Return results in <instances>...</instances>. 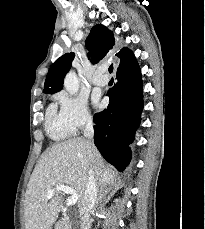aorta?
<instances>
[{"label": "aorta", "mask_w": 205, "mask_h": 229, "mask_svg": "<svg viewBox=\"0 0 205 229\" xmlns=\"http://www.w3.org/2000/svg\"><path fill=\"white\" fill-rule=\"evenodd\" d=\"M64 88L71 95H74L78 92L79 80L75 72L70 71L67 73L64 79Z\"/></svg>", "instance_id": "1"}]
</instances>
